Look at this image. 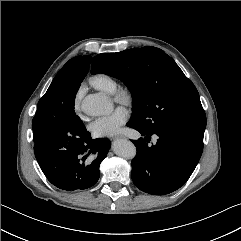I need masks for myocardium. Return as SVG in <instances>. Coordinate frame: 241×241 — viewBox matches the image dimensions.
<instances>
[{
	"label": "myocardium",
	"mask_w": 241,
	"mask_h": 241,
	"mask_svg": "<svg viewBox=\"0 0 241 241\" xmlns=\"http://www.w3.org/2000/svg\"><path fill=\"white\" fill-rule=\"evenodd\" d=\"M113 100L116 103L128 106L131 104L133 96L128 88H117L112 94Z\"/></svg>",
	"instance_id": "1"
}]
</instances>
